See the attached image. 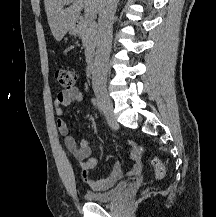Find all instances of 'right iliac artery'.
Instances as JSON below:
<instances>
[{
	"label": "right iliac artery",
	"mask_w": 216,
	"mask_h": 217,
	"mask_svg": "<svg viewBox=\"0 0 216 217\" xmlns=\"http://www.w3.org/2000/svg\"><path fill=\"white\" fill-rule=\"evenodd\" d=\"M91 102H92V104H93L96 108H98L100 111H102L101 104H100V102H99V100H98L97 98L93 97V98L91 99Z\"/></svg>",
	"instance_id": "obj_1"
}]
</instances>
